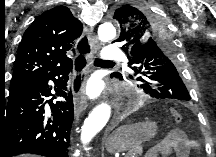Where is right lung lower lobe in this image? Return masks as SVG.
Masks as SVG:
<instances>
[{"mask_svg": "<svg viewBox=\"0 0 216 157\" xmlns=\"http://www.w3.org/2000/svg\"><path fill=\"white\" fill-rule=\"evenodd\" d=\"M72 63L58 67L46 75L14 90L0 107V157L23 153L44 157H68L70 130L74 108L67 80ZM49 81H53L56 96L62 102L48 100L52 113L45 110L44 97L53 96Z\"/></svg>", "mask_w": 216, "mask_h": 157, "instance_id": "obj_1", "label": "right lung lower lobe"}]
</instances>
